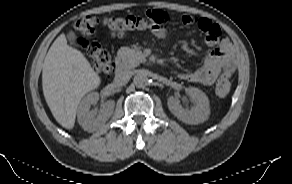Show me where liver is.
Here are the masks:
<instances>
[{"instance_id": "1", "label": "liver", "mask_w": 292, "mask_h": 184, "mask_svg": "<svg viewBox=\"0 0 292 184\" xmlns=\"http://www.w3.org/2000/svg\"><path fill=\"white\" fill-rule=\"evenodd\" d=\"M100 82L85 56L67 44L64 34L58 36L44 59L42 87L46 103L62 127H74L82 97Z\"/></svg>"}]
</instances>
